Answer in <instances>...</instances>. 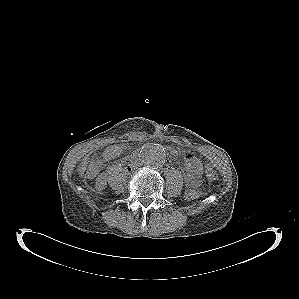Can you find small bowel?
<instances>
[{
    "instance_id": "1",
    "label": "small bowel",
    "mask_w": 299,
    "mask_h": 299,
    "mask_svg": "<svg viewBox=\"0 0 299 299\" xmlns=\"http://www.w3.org/2000/svg\"><path fill=\"white\" fill-rule=\"evenodd\" d=\"M124 151H125V148L123 146L113 145V146L108 147L104 151L103 157L107 160H111V159H114V158L120 156L121 154H123ZM184 178H185V182H186L187 186H189V187H196L200 184V181H201V176H197V175L193 174L186 168L184 169Z\"/></svg>"
}]
</instances>
